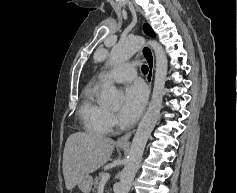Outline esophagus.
I'll return each mask as SVG.
<instances>
[{
    "mask_svg": "<svg viewBox=\"0 0 237 193\" xmlns=\"http://www.w3.org/2000/svg\"><path fill=\"white\" fill-rule=\"evenodd\" d=\"M142 53L147 61L148 67H149V72L147 74L146 81L148 83L149 90H151L154 67H155L154 54H153L152 49L147 45L143 46ZM132 134H133V131L126 133L125 135H123L122 137H120L117 140V144L118 145H129V140H130Z\"/></svg>",
    "mask_w": 237,
    "mask_h": 193,
    "instance_id": "esophagus-1",
    "label": "esophagus"
}]
</instances>
